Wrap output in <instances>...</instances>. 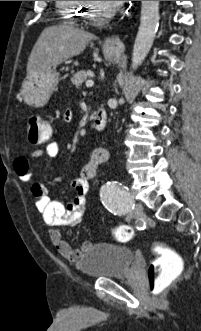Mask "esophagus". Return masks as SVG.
<instances>
[{
  "mask_svg": "<svg viewBox=\"0 0 201 331\" xmlns=\"http://www.w3.org/2000/svg\"><path fill=\"white\" fill-rule=\"evenodd\" d=\"M104 47L107 51L116 54L123 53L125 49L124 44L119 36L108 37L104 42Z\"/></svg>",
  "mask_w": 201,
  "mask_h": 331,
  "instance_id": "esophagus-1",
  "label": "esophagus"
}]
</instances>
